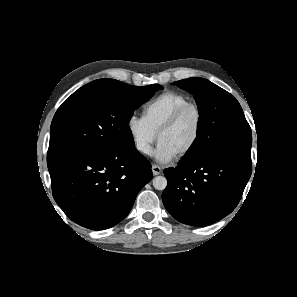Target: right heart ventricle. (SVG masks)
I'll list each match as a JSON object with an SVG mask.
<instances>
[{
  "mask_svg": "<svg viewBox=\"0 0 297 297\" xmlns=\"http://www.w3.org/2000/svg\"><path fill=\"white\" fill-rule=\"evenodd\" d=\"M190 99L176 91H165L144 104L142 114L151 129L157 134L159 128L181 106L190 103Z\"/></svg>",
  "mask_w": 297,
  "mask_h": 297,
  "instance_id": "e07e8e85",
  "label": "right heart ventricle"
}]
</instances>
